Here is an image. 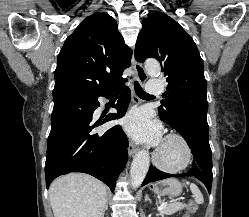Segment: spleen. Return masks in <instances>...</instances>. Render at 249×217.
<instances>
[{
    "instance_id": "3e777b00",
    "label": "spleen",
    "mask_w": 249,
    "mask_h": 217,
    "mask_svg": "<svg viewBox=\"0 0 249 217\" xmlns=\"http://www.w3.org/2000/svg\"><path fill=\"white\" fill-rule=\"evenodd\" d=\"M186 184L190 185V190L195 197V202L197 204H202L204 199H203V195H202L201 191L199 190V188L194 183L190 184L189 182H186Z\"/></svg>"
}]
</instances>
